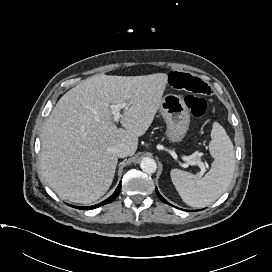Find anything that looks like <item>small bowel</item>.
<instances>
[{"instance_id":"small-bowel-1","label":"small bowel","mask_w":272,"mask_h":272,"mask_svg":"<svg viewBox=\"0 0 272 272\" xmlns=\"http://www.w3.org/2000/svg\"><path fill=\"white\" fill-rule=\"evenodd\" d=\"M166 81L170 87L191 95L208 96L212 92L207 82L198 76L186 72H170L167 75Z\"/></svg>"}]
</instances>
